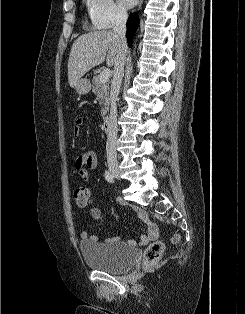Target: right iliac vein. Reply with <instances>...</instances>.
I'll return each mask as SVG.
<instances>
[{
    "instance_id": "63e3f726",
    "label": "right iliac vein",
    "mask_w": 245,
    "mask_h": 314,
    "mask_svg": "<svg viewBox=\"0 0 245 314\" xmlns=\"http://www.w3.org/2000/svg\"><path fill=\"white\" fill-rule=\"evenodd\" d=\"M109 170L110 172L117 178L120 179V171L119 168L117 166V164L115 162H110L108 164Z\"/></svg>"
}]
</instances>
